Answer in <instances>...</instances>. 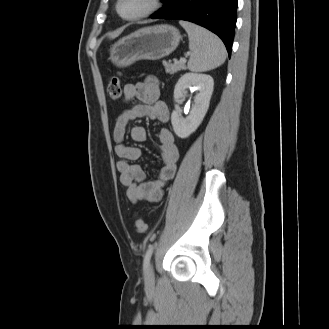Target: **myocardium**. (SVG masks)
<instances>
[{"label": "myocardium", "instance_id": "myocardium-1", "mask_svg": "<svg viewBox=\"0 0 329 329\" xmlns=\"http://www.w3.org/2000/svg\"><path fill=\"white\" fill-rule=\"evenodd\" d=\"M122 1L123 0H117L115 8H116L117 14L122 19H125V20H138V19L147 17V16L153 14L154 12H156L161 5V0H148V6L146 7V9H144L143 11H141L138 14L131 15V16H125L120 11V5H121Z\"/></svg>", "mask_w": 329, "mask_h": 329}]
</instances>
